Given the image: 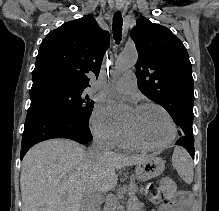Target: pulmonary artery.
<instances>
[{
  "instance_id": "e3ab8cb5",
  "label": "pulmonary artery",
  "mask_w": 219,
  "mask_h": 211,
  "mask_svg": "<svg viewBox=\"0 0 219 211\" xmlns=\"http://www.w3.org/2000/svg\"><path fill=\"white\" fill-rule=\"evenodd\" d=\"M114 90L121 94H131L137 90V80L132 71H126L114 84Z\"/></svg>"
}]
</instances>
